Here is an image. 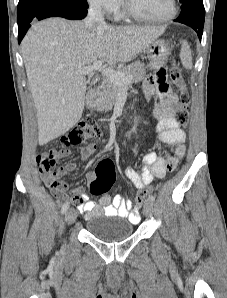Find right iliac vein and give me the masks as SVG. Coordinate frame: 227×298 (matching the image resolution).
<instances>
[{
    "label": "right iliac vein",
    "mask_w": 227,
    "mask_h": 298,
    "mask_svg": "<svg viewBox=\"0 0 227 298\" xmlns=\"http://www.w3.org/2000/svg\"><path fill=\"white\" fill-rule=\"evenodd\" d=\"M76 218H77V211L75 209L71 208L66 212L65 220L68 224L74 223Z\"/></svg>",
    "instance_id": "obj_1"
}]
</instances>
